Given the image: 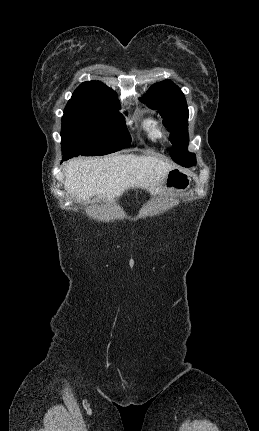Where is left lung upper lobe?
<instances>
[{
	"label": "left lung upper lobe",
	"mask_w": 259,
	"mask_h": 431,
	"mask_svg": "<svg viewBox=\"0 0 259 431\" xmlns=\"http://www.w3.org/2000/svg\"><path fill=\"white\" fill-rule=\"evenodd\" d=\"M141 101L149 108L158 109L164 118L163 123L170 131L173 144L172 159L182 166L194 165L195 154L187 151L189 112L182 91L172 81L164 80L152 85Z\"/></svg>",
	"instance_id": "obj_1"
}]
</instances>
